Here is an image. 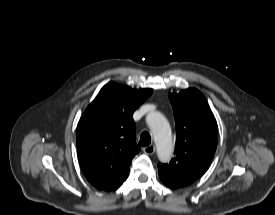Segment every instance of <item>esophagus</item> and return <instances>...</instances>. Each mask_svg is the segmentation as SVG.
Listing matches in <instances>:
<instances>
[{"label": "esophagus", "mask_w": 275, "mask_h": 215, "mask_svg": "<svg viewBox=\"0 0 275 215\" xmlns=\"http://www.w3.org/2000/svg\"><path fill=\"white\" fill-rule=\"evenodd\" d=\"M143 152L147 155H152L155 153V146L149 145L143 148Z\"/></svg>", "instance_id": "1"}]
</instances>
